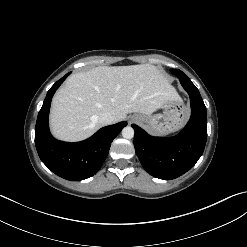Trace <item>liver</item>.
<instances>
[{"instance_id":"obj_1","label":"liver","mask_w":247,"mask_h":247,"mask_svg":"<svg viewBox=\"0 0 247 247\" xmlns=\"http://www.w3.org/2000/svg\"><path fill=\"white\" fill-rule=\"evenodd\" d=\"M174 87L153 65L99 66L71 75L52 100L50 127L65 141H81L102 125L99 116L114 115V123L128 113L151 115L165 101L179 99Z\"/></svg>"}]
</instances>
